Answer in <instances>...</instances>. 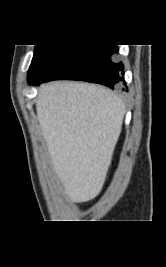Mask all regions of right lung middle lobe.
Returning a JSON list of instances; mask_svg holds the SVG:
<instances>
[{"mask_svg": "<svg viewBox=\"0 0 166 267\" xmlns=\"http://www.w3.org/2000/svg\"><path fill=\"white\" fill-rule=\"evenodd\" d=\"M52 45H36L34 50V56L29 68L28 77L31 75L33 70L36 68L38 63L41 61L46 52L51 48Z\"/></svg>", "mask_w": 166, "mask_h": 267, "instance_id": "obj_1", "label": "right lung middle lobe"}]
</instances>
